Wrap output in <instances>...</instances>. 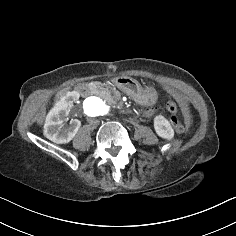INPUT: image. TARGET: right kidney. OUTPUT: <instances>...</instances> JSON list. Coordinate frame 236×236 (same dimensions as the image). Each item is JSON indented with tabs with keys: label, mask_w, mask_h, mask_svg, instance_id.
<instances>
[{
	"label": "right kidney",
	"mask_w": 236,
	"mask_h": 236,
	"mask_svg": "<svg viewBox=\"0 0 236 236\" xmlns=\"http://www.w3.org/2000/svg\"><path fill=\"white\" fill-rule=\"evenodd\" d=\"M79 94L74 90H67L59 99L52 102L45 109L47 121L44 128L45 136L55 144H67L74 139L81 127L78 119H67L65 110L78 101Z\"/></svg>",
	"instance_id": "obj_1"
}]
</instances>
